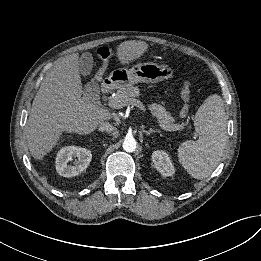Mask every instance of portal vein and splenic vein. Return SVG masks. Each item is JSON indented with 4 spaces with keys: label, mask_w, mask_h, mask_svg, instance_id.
Instances as JSON below:
<instances>
[{
    "label": "portal vein and splenic vein",
    "mask_w": 261,
    "mask_h": 261,
    "mask_svg": "<svg viewBox=\"0 0 261 261\" xmlns=\"http://www.w3.org/2000/svg\"><path fill=\"white\" fill-rule=\"evenodd\" d=\"M108 105L111 108H117V109L125 106V104L122 103L120 100H109ZM131 105L138 107L140 110H142L144 112L146 111L145 106L142 104L141 101H139L137 99L133 100V103ZM177 130H178V128H177Z\"/></svg>",
    "instance_id": "18ae733b"
}]
</instances>
